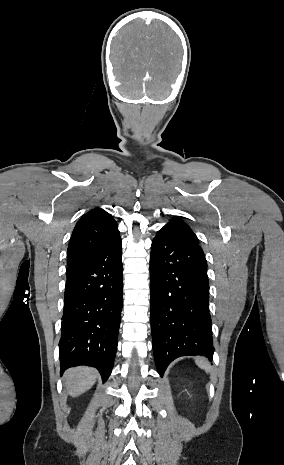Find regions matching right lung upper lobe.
Instances as JSON below:
<instances>
[{"mask_svg": "<svg viewBox=\"0 0 284 465\" xmlns=\"http://www.w3.org/2000/svg\"><path fill=\"white\" fill-rule=\"evenodd\" d=\"M119 238L116 221L104 210L95 208L77 222L67 251L68 266L101 252Z\"/></svg>", "mask_w": 284, "mask_h": 465, "instance_id": "obj_1", "label": "right lung upper lobe"}]
</instances>
